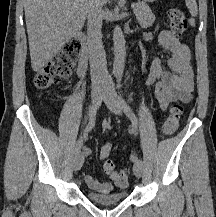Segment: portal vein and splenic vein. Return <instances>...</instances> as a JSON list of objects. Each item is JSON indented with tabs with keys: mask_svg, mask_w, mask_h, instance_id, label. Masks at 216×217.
Here are the masks:
<instances>
[{
	"mask_svg": "<svg viewBox=\"0 0 216 217\" xmlns=\"http://www.w3.org/2000/svg\"><path fill=\"white\" fill-rule=\"evenodd\" d=\"M135 5H136V4H135ZM135 5H134V4H132V5H131V7L134 9V8H135Z\"/></svg>",
	"mask_w": 216,
	"mask_h": 217,
	"instance_id": "obj_1",
	"label": "portal vein and splenic vein"
}]
</instances>
